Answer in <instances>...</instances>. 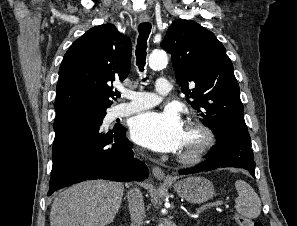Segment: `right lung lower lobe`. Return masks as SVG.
<instances>
[{"label":"right lung lower lobe","mask_w":297,"mask_h":226,"mask_svg":"<svg viewBox=\"0 0 297 226\" xmlns=\"http://www.w3.org/2000/svg\"><path fill=\"white\" fill-rule=\"evenodd\" d=\"M102 121L98 110L86 107L56 116L48 195L85 180L127 182L148 177L145 163L133 157L125 128L104 132Z\"/></svg>","instance_id":"1"}]
</instances>
